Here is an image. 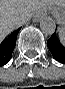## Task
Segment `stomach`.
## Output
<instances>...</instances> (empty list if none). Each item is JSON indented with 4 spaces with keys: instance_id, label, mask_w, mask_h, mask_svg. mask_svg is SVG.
<instances>
[{
    "instance_id": "0dacf381",
    "label": "stomach",
    "mask_w": 65,
    "mask_h": 89,
    "mask_svg": "<svg viewBox=\"0 0 65 89\" xmlns=\"http://www.w3.org/2000/svg\"><path fill=\"white\" fill-rule=\"evenodd\" d=\"M47 9L59 20L65 21V5L61 7L49 6ZM64 28V25H63Z\"/></svg>"
}]
</instances>
